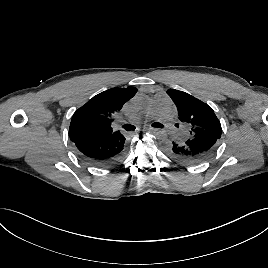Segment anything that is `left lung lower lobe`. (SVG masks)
<instances>
[{"label": "left lung lower lobe", "mask_w": 268, "mask_h": 268, "mask_svg": "<svg viewBox=\"0 0 268 268\" xmlns=\"http://www.w3.org/2000/svg\"><path fill=\"white\" fill-rule=\"evenodd\" d=\"M219 139L213 136L189 137L183 141H173L166 151L175 161L188 166L198 165L209 159L218 146Z\"/></svg>", "instance_id": "left-lung-lower-lobe-1"}]
</instances>
